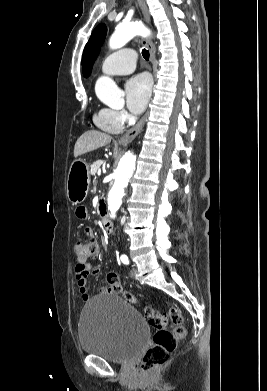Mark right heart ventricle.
Returning <instances> with one entry per match:
<instances>
[{"mask_svg": "<svg viewBox=\"0 0 267 391\" xmlns=\"http://www.w3.org/2000/svg\"><path fill=\"white\" fill-rule=\"evenodd\" d=\"M94 122L101 130L108 133H118L121 130V126L115 123L111 117L109 109H99L94 115Z\"/></svg>", "mask_w": 267, "mask_h": 391, "instance_id": "e07e8e85", "label": "right heart ventricle"}]
</instances>
